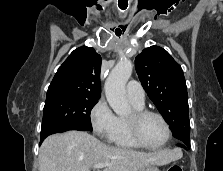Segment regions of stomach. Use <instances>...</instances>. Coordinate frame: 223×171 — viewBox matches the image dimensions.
<instances>
[{"mask_svg":"<svg viewBox=\"0 0 223 171\" xmlns=\"http://www.w3.org/2000/svg\"><path fill=\"white\" fill-rule=\"evenodd\" d=\"M140 171H159V169L154 165H149L142 168Z\"/></svg>","mask_w":223,"mask_h":171,"instance_id":"0dacf381","label":"stomach"}]
</instances>
